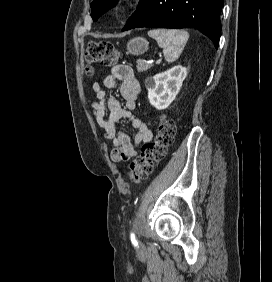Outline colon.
Returning <instances> with one entry per match:
<instances>
[{
	"mask_svg": "<svg viewBox=\"0 0 272 282\" xmlns=\"http://www.w3.org/2000/svg\"><path fill=\"white\" fill-rule=\"evenodd\" d=\"M119 58L117 49L108 42H91L85 52L87 64L115 65ZM88 74L92 69H88ZM175 136V125L172 121L161 120L157 135L152 142L146 143L141 154L130 164L128 178L130 181L140 183L153 172L156 166L165 157L169 146L173 143Z\"/></svg>",
	"mask_w": 272,
	"mask_h": 282,
	"instance_id": "colon-1",
	"label": "colon"
}]
</instances>
